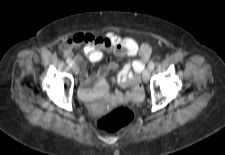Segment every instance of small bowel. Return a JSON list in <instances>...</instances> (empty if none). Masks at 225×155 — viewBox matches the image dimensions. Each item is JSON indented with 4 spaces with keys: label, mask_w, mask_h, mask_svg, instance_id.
Segmentation results:
<instances>
[{
    "label": "small bowel",
    "mask_w": 225,
    "mask_h": 155,
    "mask_svg": "<svg viewBox=\"0 0 225 155\" xmlns=\"http://www.w3.org/2000/svg\"><path fill=\"white\" fill-rule=\"evenodd\" d=\"M83 47L85 56L91 62H99L104 58L105 51L110 50L119 57H135L138 59L119 67L117 63H110L99 69L97 74L89 77L84 66V59L81 56H74L73 50ZM60 50L67 58H73L82 68L81 78L83 86L80 96L83 100L92 102L99 97L105 96L109 103H125L128 101H139L143 92L139 84V76L145 67L151 55V47L148 44L139 45L131 37L120 36L114 32H107L102 36H96L92 33L79 32L65 39L60 45ZM110 71H117L112 79L120 86L129 88L127 92L116 90L109 94L110 80L108 74ZM92 83L90 88L88 85Z\"/></svg>",
    "instance_id": "obj_1"
}]
</instances>
